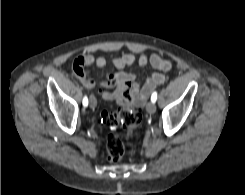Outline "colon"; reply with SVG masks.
<instances>
[{"label":"colon","mask_w":245,"mask_h":195,"mask_svg":"<svg viewBox=\"0 0 245 195\" xmlns=\"http://www.w3.org/2000/svg\"><path fill=\"white\" fill-rule=\"evenodd\" d=\"M143 109L137 107L134 109L124 108L119 112L105 113L103 121L111 133L107 137V160L112 163H118L125 151V146L116 133L123 131L126 134H132L139 126L142 119Z\"/></svg>","instance_id":"5ec220e1"}]
</instances>
